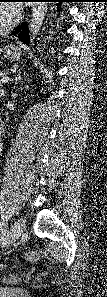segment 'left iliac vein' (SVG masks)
Segmentation results:
<instances>
[{
  "instance_id": "1",
  "label": "left iliac vein",
  "mask_w": 107,
  "mask_h": 297,
  "mask_svg": "<svg viewBox=\"0 0 107 297\" xmlns=\"http://www.w3.org/2000/svg\"><path fill=\"white\" fill-rule=\"evenodd\" d=\"M25 220L23 218L17 219L11 227L10 237L13 240L18 239L24 232Z\"/></svg>"
}]
</instances>
